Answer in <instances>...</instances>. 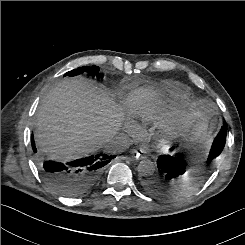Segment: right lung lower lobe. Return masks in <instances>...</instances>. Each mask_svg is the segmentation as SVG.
I'll return each instance as SVG.
<instances>
[{"mask_svg": "<svg viewBox=\"0 0 245 245\" xmlns=\"http://www.w3.org/2000/svg\"><path fill=\"white\" fill-rule=\"evenodd\" d=\"M36 153L34 138H31ZM115 156L97 154L67 163L42 159L36 154L37 166L48 185L66 197H78L97 182L103 167Z\"/></svg>", "mask_w": 245, "mask_h": 245, "instance_id": "1", "label": "right lung lower lobe"}]
</instances>
